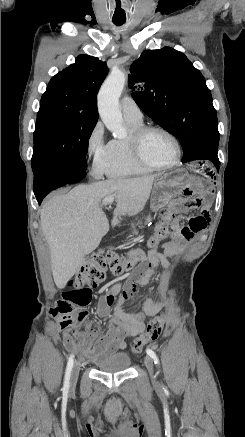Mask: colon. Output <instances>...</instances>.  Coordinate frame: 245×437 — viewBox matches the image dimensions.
I'll list each match as a JSON object with an SVG mask.
<instances>
[{"mask_svg": "<svg viewBox=\"0 0 245 437\" xmlns=\"http://www.w3.org/2000/svg\"><path fill=\"white\" fill-rule=\"evenodd\" d=\"M159 216L160 221L155 227L153 236L147 242V246L151 249L157 248L161 241L170 237L169 223L175 218V209L170 206L163 207ZM141 259L140 250L131 252L128 257L112 250H99L88 257L69 281L70 288L63 292L61 299L52 308V314L57 317L65 334L73 338L82 337L84 331L80 326L88 316L85 308L92 300V288L104 280L107 271L113 275H123L132 270ZM164 325L163 315L152 320L145 332L133 340V351L138 353L144 344L155 341L162 333Z\"/></svg>", "mask_w": 245, "mask_h": 437, "instance_id": "obj_1", "label": "colon"}]
</instances>
